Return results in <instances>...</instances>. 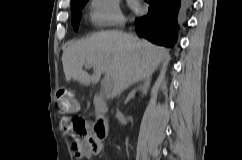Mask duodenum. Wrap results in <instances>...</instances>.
<instances>
[{"label": "duodenum", "instance_id": "410a0bca", "mask_svg": "<svg viewBox=\"0 0 242 160\" xmlns=\"http://www.w3.org/2000/svg\"><path fill=\"white\" fill-rule=\"evenodd\" d=\"M95 119L90 126L91 133L97 142L105 140L109 133V124L105 117L106 104L99 94L94 95Z\"/></svg>", "mask_w": 242, "mask_h": 160}]
</instances>
